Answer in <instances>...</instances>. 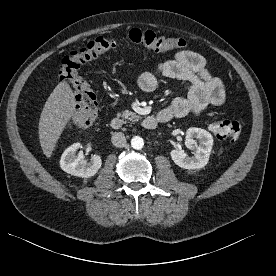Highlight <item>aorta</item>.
Returning a JSON list of instances; mask_svg holds the SVG:
<instances>
[{"label":"aorta","instance_id":"obj_1","mask_svg":"<svg viewBox=\"0 0 276 276\" xmlns=\"http://www.w3.org/2000/svg\"><path fill=\"white\" fill-rule=\"evenodd\" d=\"M131 146L133 149L135 150H140L143 148L144 146V140L143 138L139 137V136H135L131 139Z\"/></svg>","mask_w":276,"mask_h":276}]
</instances>
